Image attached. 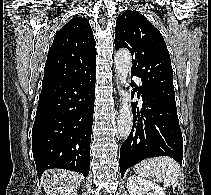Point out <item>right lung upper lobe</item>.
I'll list each match as a JSON object with an SVG mask.
<instances>
[{"instance_id": "obj_1", "label": "right lung upper lobe", "mask_w": 211, "mask_h": 195, "mask_svg": "<svg viewBox=\"0 0 211 195\" xmlns=\"http://www.w3.org/2000/svg\"><path fill=\"white\" fill-rule=\"evenodd\" d=\"M96 42L85 17L72 18L60 29L49 49L42 85L91 70L96 66Z\"/></svg>"}]
</instances>
